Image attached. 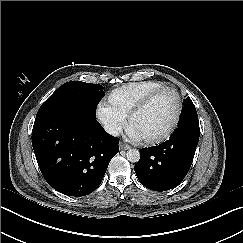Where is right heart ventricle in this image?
Segmentation results:
<instances>
[{
    "mask_svg": "<svg viewBox=\"0 0 243 243\" xmlns=\"http://www.w3.org/2000/svg\"><path fill=\"white\" fill-rule=\"evenodd\" d=\"M165 87L163 83L152 80L131 83L114 91L109 98V104L123 119L130 115L139 102Z\"/></svg>",
    "mask_w": 243,
    "mask_h": 243,
    "instance_id": "e07e8e85",
    "label": "right heart ventricle"
}]
</instances>
